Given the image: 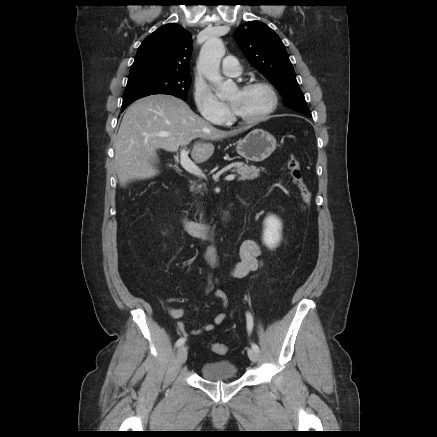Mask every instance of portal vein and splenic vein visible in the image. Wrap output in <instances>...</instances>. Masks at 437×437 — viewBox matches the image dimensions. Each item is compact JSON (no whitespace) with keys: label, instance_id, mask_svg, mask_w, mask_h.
Instances as JSON below:
<instances>
[{"label":"portal vein and splenic vein","instance_id":"obj_1","mask_svg":"<svg viewBox=\"0 0 437 437\" xmlns=\"http://www.w3.org/2000/svg\"><path fill=\"white\" fill-rule=\"evenodd\" d=\"M180 163L182 165V167L189 173L195 175V176H199L202 177L203 176V172L202 170L194 163L190 160V158L188 157V152L186 149H182L181 153H180ZM228 181L234 180L235 179V175H228L225 178Z\"/></svg>","mask_w":437,"mask_h":437}]
</instances>
